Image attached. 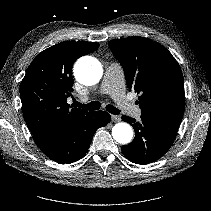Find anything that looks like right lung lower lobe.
<instances>
[{
	"label": "right lung lower lobe",
	"instance_id": "1",
	"mask_svg": "<svg viewBox=\"0 0 211 211\" xmlns=\"http://www.w3.org/2000/svg\"><path fill=\"white\" fill-rule=\"evenodd\" d=\"M110 120L111 116L107 112H88L79 117L58 142L43 153L57 163H73L86 154L96 130L106 126Z\"/></svg>",
	"mask_w": 211,
	"mask_h": 211
}]
</instances>
